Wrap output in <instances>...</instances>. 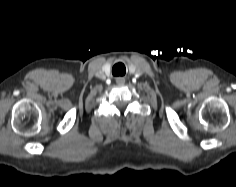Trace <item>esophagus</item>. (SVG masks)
<instances>
[{
  "label": "esophagus",
  "mask_w": 236,
  "mask_h": 187,
  "mask_svg": "<svg viewBox=\"0 0 236 187\" xmlns=\"http://www.w3.org/2000/svg\"><path fill=\"white\" fill-rule=\"evenodd\" d=\"M116 82H117L118 84H123V83L125 82V79L122 78V77H119V78L116 79Z\"/></svg>",
  "instance_id": "obj_1"
}]
</instances>
